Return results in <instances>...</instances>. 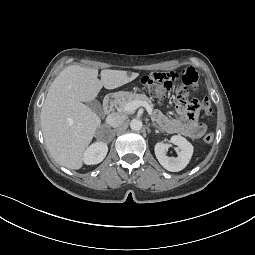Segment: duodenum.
Instances as JSON below:
<instances>
[{"label": "duodenum", "instance_id": "410a0bca", "mask_svg": "<svg viewBox=\"0 0 255 255\" xmlns=\"http://www.w3.org/2000/svg\"><path fill=\"white\" fill-rule=\"evenodd\" d=\"M120 96V93H113L105 97L103 101V110L106 114H109L113 111L114 106L116 105V102Z\"/></svg>", "mask_w": 255, "mask_h": 255}]
</instances>
